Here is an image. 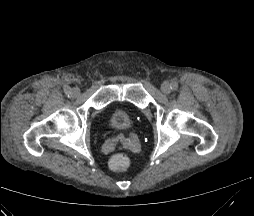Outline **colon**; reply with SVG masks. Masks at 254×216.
Instances as JSON below:
<instances>
[{"instance_id": "colon-1", "label": "colon", "mask_w": 254, "mask_h": 216, "mask_svg": "<svg viewBox=\"0 0 254 216\" xmlns=\"http://www.w3.org/2000/svg\"><path fill=\"white\" fill-rule=\"evenodd\" d=\"M128 165H129V160L123 154H115L108 161L109 168L115 172H121L126 170Z\"/></svg>"}]
</instances>
